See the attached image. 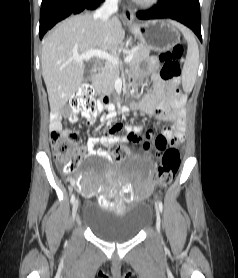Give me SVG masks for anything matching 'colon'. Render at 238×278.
Instances as JSON below:
<instances>
[{"label": "colon", "instance_id": "1", "mask_svg": "<svg viewBox=\"0 0 238 278\" xmlns=\"http://www.w3.org/2000/svg\"><path fill=\"white\" fill-rule=\"evenodd\" d=\"M183 55V47L175 46L171 50L164 51L159 55L161 63L160 76L163 80L175 84L180 75V60ZM70 106L74 109L93 112L97 103L94 99V90L90 85L82 86L79 91L70 99ZM145 149H166L162 154L156 176L160 184L168 186L172 183L180 166V152L176 147H170V144H150L145 143ZM51 148L56 164L65 172H74L80 162V139L78 135L71 131L55 130L51 132ZM116 160H122L129 155V151L124 146H115L112 150Z\"/></svg>", "mask_w": 238, "mask_h": 278}]
</instances>
